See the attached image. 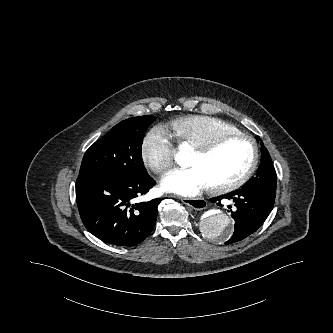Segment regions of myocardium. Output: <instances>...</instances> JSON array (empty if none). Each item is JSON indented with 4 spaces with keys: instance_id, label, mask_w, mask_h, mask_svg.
I'll list each match as a JSON object with an SVG mask.
<instances>
[{
    "instance_id": "obj_1",
    "label": "myocardium",
    "mask_w": 333,
    "mask_h": 333,
    "mask_svg": "<svg viewBox=\"0 0 333 333\" xmlns=\"http://www.w3.org/2000/svg\"><path fill=\"white\" fill-rule=\"evenodd\" d=\"M246 140L248 141L253 148V157L249 167L236 179L211 185L210 188L212 191L217 193H224L236 190L246 184L249 179L252 177L254 172L257 169L260 157V151L257 141L250 135H247L242 132L237 133H225L217 135L193 148V150L200 155H208L215 151L220 145L230 140Z\"/></svg>"
}]
</instances>
